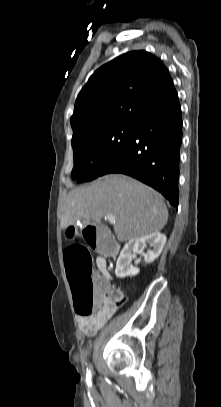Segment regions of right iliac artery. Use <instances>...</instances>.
I'll return each mask as SVG.
<instances>
[{
	"label": "right iliac artery",
	"mask_w": 221,
	"mask_h": 407,
	"mask_svg": "<svg viewBox=\"0 0 221 407\" xmlns=\"http://www.w3.org/2000/svg\"><path fill=\"white\" fill-rule=\"evenodd\" d=\"M86 378H87V379H90V378H91V372H90V371L87 372Z\"/></svg>",
	"instance_id": "82829eb1"
}]
</instances>
